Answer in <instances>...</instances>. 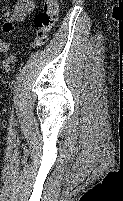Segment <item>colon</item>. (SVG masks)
I'll use <instances>...</instances> for the list:
<instances>
[{
	"label": "colon",
	"instance_id": "1",
	"mask_svg": "<svg viewBox=\"0 0 123 201\" xmlns=\"http://www.w3.org/2000/svg\"><path fill=\"white\" fill-rule=\"evenodd\" d=\"M58 17V0H43L42 8L36 13L34 23L37 28L36 35L30 43L31 48L41 47L48 41L49 32L56 24ZM10 45L0 41V52H6Z\"/></svg>",
	"mask_w": 123,
	"mask_h": 201
}]
</instances>
